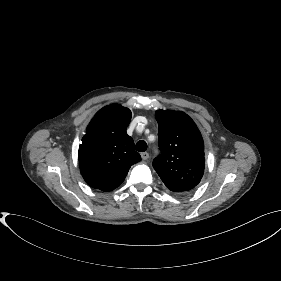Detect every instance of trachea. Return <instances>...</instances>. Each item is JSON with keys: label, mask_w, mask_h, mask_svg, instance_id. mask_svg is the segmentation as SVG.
<instances>
[{"label": "trachea", "mask_w": 281, "mask_h": 281, "mask_svg": "<svg viewBox=\"0 0 281 281\" xmlns=\"http://www.w3.org/2000/svg\"><path fill=\"white\" fill-rule=\"evenodd\" d=\"M136 150L139 152H144L147 150V143L143 140H140L136 144Z\"/></svg>", "instance_id": "1"}]
</instances>
